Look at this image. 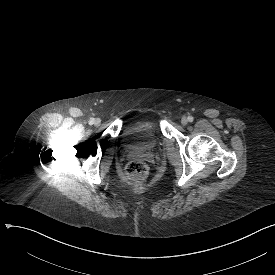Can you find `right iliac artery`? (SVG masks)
<instances>
[{"label": "right iliac artery", "mask_w": 275, "mask_h": 275, "mask_svg": "<svg viewBox=\"0 0 275 275\" xmlns=\"http://www.w3.org/2000/svg\"><path fill=\"white\" fill-rule=\"evenodd\" d=\"M94 123V119L91 118L90 121H89V124H93Z\"/></svg>", "instance_id": "obj_1"}]
</instances>
